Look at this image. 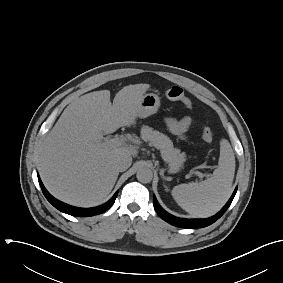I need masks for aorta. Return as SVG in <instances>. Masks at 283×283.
I'll use <instances>...</instances> for the list:
<instances>
[{
    "mask_svg": "<svg viewBox=\"0 0 283 283\" xmlns=\"http://www.w3.org/2000/svg\"><path fill=\"white\" fill-rule=\"evenodd\" d=\"M136 177L142 183H149L153 179V172L149 167L142 166L138 169Z\"/></svg>",
    "mask_w": 283,
    "mask_h": 283,
    "instance_id": "aorta-1",
    "label": "aorta"
}]
</instances>
